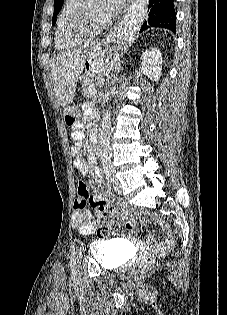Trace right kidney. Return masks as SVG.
<instances>
[{
	"label": "right kidney",
	"mask_w": 227,
	"mask_h": 315,
	"mask_svg": "<svg viewBox=\"0 0 227 315\" xmlns=\"http://www.w3.org/2000/svg\"><path fill=\"white\" fill-rule=\"evenodd\" d=\"M162 54L158 49L146 50L142 54L141 71L150 79L158 82L162 70Z\"/></svg>",
	"instance_id": "ca27d5eb"
}]
</instances>
